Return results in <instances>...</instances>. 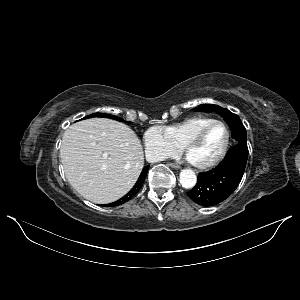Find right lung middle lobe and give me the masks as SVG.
I'll use <instances>...</instances> for the list:
<instances>
[{
  "instance_id": "right-lung-middle-lobe-1",
  "label": "right lung middle lobe",
  "mask_w": 300,
  "mask_h": 300,
  "mask_svg": "<svg viewBox=\"0 0 300 300\" xmlns=\"http://www.w3.org/2000/svg\"><path fill=\"white\" fill-rule=\"evenodd\" d=\"M91 117H106V118L122 121V119H120L119 117L109 115V114H104V113H94L92 115L86 116L85 118H91Z\"/></svg>"
}]
</instances>
